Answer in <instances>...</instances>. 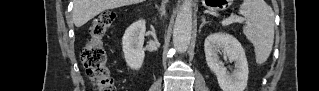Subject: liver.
<instances>
[{
    "label": "liver",
    "mask_w": 319,
    "mask_h": 91,
    "mask_svg": "<svg viewBox=\"0 0 319 91\" xmlns=\"http://www.w3.org/2000/svg\"><path fill=\"white\" fill-rule=\"evenodd\" d=\"M143 1L144 0H74V24L76 27H81L105 10L137 4Z\"/></svg>",
    "instance_id": "obj_1"
}]
</instances>
